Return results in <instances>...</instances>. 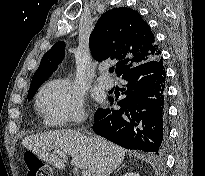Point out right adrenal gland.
<instances>
[{"label":"right adrenal gland","instance_id":"2a0ac1e0","mask_svg":"<svg viewBox=\"0 0 205 176\" xmlns=\"http://www.w3.org/2000/svg\"><path fill=\"white\" fill-rule=\"evenodd\" d=\"M123 167H125V165H121V166H119V167H118V170L121 169V168H123Z\"/></svg>","mask_w":205,"mask_h":176}]
</instances>
